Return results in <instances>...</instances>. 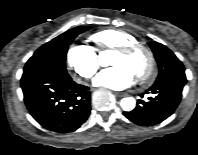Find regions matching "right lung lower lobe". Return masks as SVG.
<instances>
[{
    "label": "right lung lower lobe",
    "instance_id": "1",
    "mask_svg": "<svg viewBox=\"0 0 198 155\" xmlns=\"http://www.w3.org/2000/svg\"><path fill=\"white\" fill-rule=\"evenodd\" d=\"M21 87L30 114L48 130L75 131L90 115L88 87L75 83L70 77L43 70L24 71Z\"/></svg>",
    "mask_w": 198,
    "mask_h": 155
}]
</instances>
